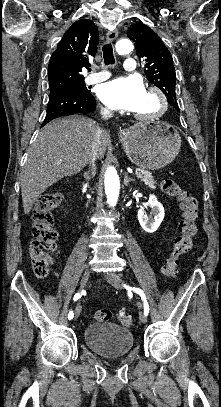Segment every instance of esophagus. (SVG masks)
Here are the masks:
<instances>
[{
  "mask_svg": "<svg viewBox=\"0 0 221 407\" xmlns=\"http://www.w3.org/2000/svg\"><path fill=\"white\" fill-rule=\"evenodd\" d=\"M117 35H118V30H117V29L110 30V31H108L107 34H106V40H107L108 42H111V41H113V40L117 37ZM122 134H124V131H123V130H120V131L118 132V135L121 136Z\"/></svg>",
  "mask_w": 221,
  "mask_h": 407,
  "instance_id": "1",
  "label": "esophagus"
}]
</instances>
